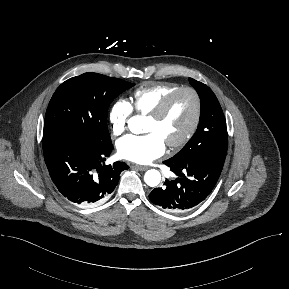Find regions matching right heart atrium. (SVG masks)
I'll use <instances>...</instances> for the list:
<instances>
[{"label": "right heart atrium", "mask_w": 289, "mask_h": 289, "mask_svg": "<svg viewBox=\"0 0 289 289\" xmlns=\"http://www.w3.org/2000/svg\"><path fill=\"white\" fill-rule=\"evenodd\" d=\"M132 113V105L125 99H118L112 104L108 118L111 131L115 136H119L126 131Z\"/></svg>", "instance_id": "obj_1"}]
</instances>
